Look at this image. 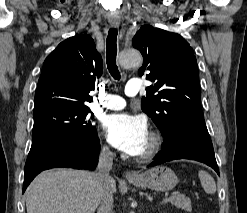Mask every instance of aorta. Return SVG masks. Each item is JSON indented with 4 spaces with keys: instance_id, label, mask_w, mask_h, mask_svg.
I'll return each instance as SVG.
<instances>
[{
    "instance_id": "obj_1",
    "label": "aorta",
    "mask_w": 247,
    "mask_h": 213,
    "mask_svg": "<svg viewBox=\"0 0 247 213\" xmlns=\"http://www.w3.org/2000/svg\"><path fill=\"white\" fill-rule=\"evenodd\" d=\"M119 61L123 68L139 67L142 63V56L137 50L126 49L120 53Z\"/></svg>"
}]
</instances>
